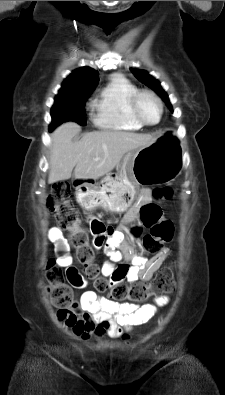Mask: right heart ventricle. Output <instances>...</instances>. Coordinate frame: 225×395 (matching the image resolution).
Here are the masks:
<instances>
[{
    "instance_id": "1",
    "label": "right heart ventricle",
    "mask_w": 225,
    "mask_h": 395,
    "mask_svg": "<svg viewBox=\"0 0 225 395\" xmlns=\"http://www.w3.org/2000/svg\"><path fill=\"white\" fill-rule=\"evenodd\" d=\"M138 88L126 78L115 75L93 101L94 123L102 129L137 131L143 126L132 116L130 100Z\"/></svg>"
}]
</instances>
